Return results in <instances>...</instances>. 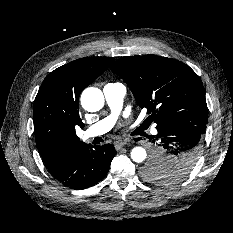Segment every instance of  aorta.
Listing matches in <instances>:
<instances>
[{
	"label": "aorta",
	"instance_id": "aorta-1",
	"mask_svg": "<svg viewBox=\"0 0 233 233\" xmlns=\"http://www.w3.org/2000/svg\"><path fill=\"white\" fill-rule=\"evenodd\" d=\"M82 107L89 112L99 111L104 105V96L100 89L86 88L81 95ZM147 153L143 147H135L131 151L134 162L141 163L146 159Z\"/></svg>",
	"mask_w": 233,
	"mask_h": 233
}]
</instances>
